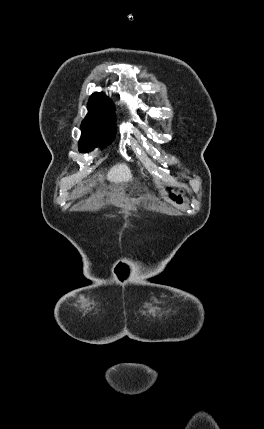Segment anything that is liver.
Listing matches in <instances>:
<instances>
[{
	"mask_svg": "<svg viewBox=\"0 0 264 429\" xmlns=\"http://www.w3.org/2000/svg\"><path fill=\"white\" fill-rule=\"evenodd\" d=\"M107 179L113 183H125L132 181V174L126 164H117L108 171Z\"/></svg>",
	"mask_w": 264,
	"mask_h": 429,
	"instance_id": "obj_1",
	"label": "liver"
}]
</instances>
